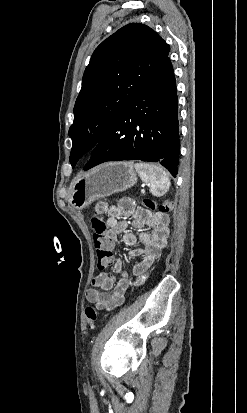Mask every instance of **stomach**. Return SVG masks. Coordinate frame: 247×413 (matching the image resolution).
Masks as SVG:
<instances>
[{"label": "stomach", "instance_id": "obj_1", "mask_svg": "<svg viewBox=\"0 0 247 413\" xmlns=\"http://www.w3.org/2000/svg\"><path fill=\"white\" fill-rule=\"evenodd\" d=\"M135 182L137 172L133 162H103L88 172H80L75 176L70 186L69 204L75 209H86L93 200L126 190Z\"/></svg>", "mask_w": 247, "mask_h": 413}]
</instances>
